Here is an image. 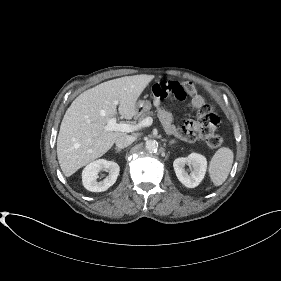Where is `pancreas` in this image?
<instances>
[{"label": "pancreas", "mask_w": 281, "mask_h": 281, "mask_svg": "<svg viewBox=\"0 0 281 281\" xmlns=\"http://www.w3.org/2000/svg\"><path fill=\"white\" fill-rule=\"evenodd\" d=\"M153 115V112L151 111H148L146 113H143L141 114L139 117H138V121L141 122L143 119H145L146 117H149V116H152Z\"/></svg>", "instance_id": "pancreas-1"}]
</instances>
